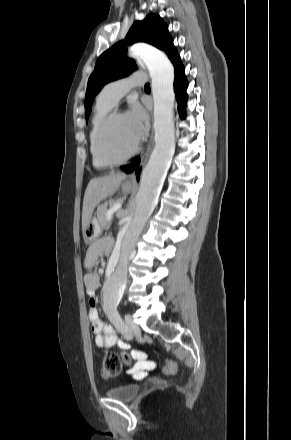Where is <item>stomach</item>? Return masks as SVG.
Instances as JSON below:
<instances>
[{
  "instance_id": "stomach-1",
  "label": "stomach",
  "mask_w": 291,
  "mask_h": 440,
  "mask_svg": "<svg viewBox=\"0 0 291 440\" xmlns=\"http://www.w3.org/2000/svg\"><path fill=\"white\" fill-rule=\"evenodd\" d=\"M133 187L128 186L126 183L122 185V191L124 193H130L133 191ZM100 233V226L95 218L90 219L87 227L83 230V238L86 243L92 242Z\"/></svg>"
}]
</instances>
